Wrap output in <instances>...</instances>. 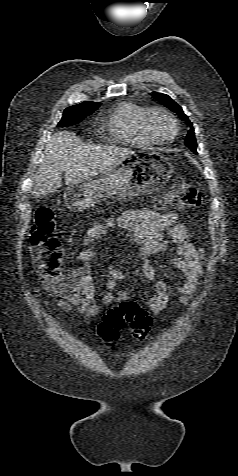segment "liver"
I'll return each mask as SVG.
<instances>
[{
  "label": "liver",
  "instance_id": "6515ba94",
  "mask_svg": "<svg viewBox=\"0 0 238 476\" xmlns=\"http://www.w3.org/2000/svg\"><path fill=\"white\" fill-rule=\"evenodd\" d=\"M134 152L117 146L84 144L74 133L56 132L46 145L45 153L35 177V198L43 197L65 184L73 186L113 168Z\"/></svg>",
  "mask_w": 238,
  "mask_h": 476
}]
</instances>
